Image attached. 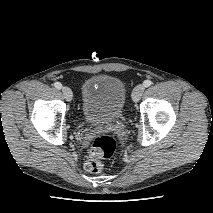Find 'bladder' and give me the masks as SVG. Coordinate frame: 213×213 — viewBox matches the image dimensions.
<instances>
[{
  "instance_id": "bladder-1",
  "label": "bladder",
  "mask_w": 213,
  "mask_h": 213,
  "mask_svg": "<svg viewBox=\"0 0 213 213\" xmlns=\"http://www.w3.org/2000/svg\"><path fill=\"white\" fill-rule=\"evenodd\" d=\"M126 88L122 80L110 75H94L81 87V111L93 125L116 122L122 115Z\"/></svg>"
}]
</instances>
